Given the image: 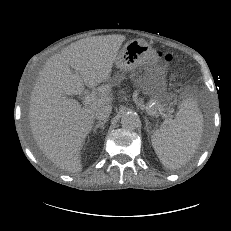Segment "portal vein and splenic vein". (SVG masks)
I'll return each mask as SVG.
<instances>
[{
	"label": "portal vein and splenic vein",
	"instance_id": "1",
	"mask_svg": "<svg viewBox=\"0 0 231 231\" xmlns=\"http://www.w3.org/2000/svg\"><path fill=\"white\" fill-rule=\"evenodd\" d=\"M96 99H97V96H96L95 94H87V95H85V97H84L83 103H84V105H89V104L95 102ZM160 114H161L162 117H164V118L167 117V115L164 114V113L161 112V111H160Z\"/></svg>",
	"mask_w": 231,
	"mask_h": 231
}]
</instances>
